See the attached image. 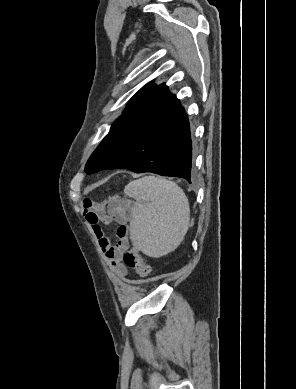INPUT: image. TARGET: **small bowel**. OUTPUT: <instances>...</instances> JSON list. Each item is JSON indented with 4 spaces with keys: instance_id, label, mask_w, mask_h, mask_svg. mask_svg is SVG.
<instances>
[{
    "instance_id": "1",
    "label": "small bowel",
    "mask_w": 296,
    "mask_h": 389,
    "mask_svg": "<svg viewBox=\"0 0 296 389\" xmlns=\"http://www.w3.org/2000/svg\"><path fill=\"white\" fill-rule=\"evenodd\" d=\"M84 216L91 226L105 258L119 276H126L127 269L122 264V257L128 247V222L131 218V207L127 202L112 198L107 202L97 203L90 200L83 202ZM116 222V244H112L102 226Z\"/></svg>"
}]
</instances>
